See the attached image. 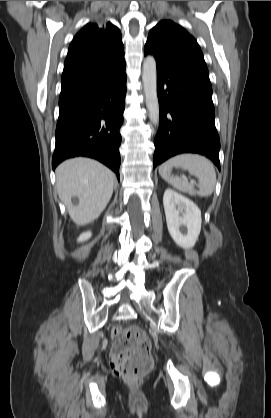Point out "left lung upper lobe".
I'll return each mask as SVG.
<instances>
[{"instance_id":"left-lung-upper-lobe-1","label":"left lung upper lobe","mask_w":271,"mask_h":418,"mask_svg":"<svg viewBox=\"0 0 271 418\" xmlns=\"http://www.w3.org/2000/svg\"><path fill=\"white\" fill-rule=\"evenodd\" d=\"M145 46H149L163 58L208 75L197 41L184 28L172 21H160L152 28Z\"/></svg>"}]
</instances>
